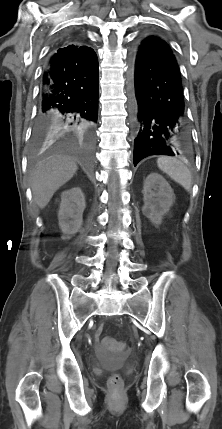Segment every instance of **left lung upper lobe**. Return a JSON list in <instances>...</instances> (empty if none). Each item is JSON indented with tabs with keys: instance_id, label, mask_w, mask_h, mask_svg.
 Segmentation results:
<instances>
[{
	"instance_id": "left-lung-upper-lobe-1",
	"label": "left lung upper lobe",
	"mask_w": 222,
	"mask_h": 429,
	"mask_svg": "<svg viewBox=\"0 0 222 429\" xmlns=\"http://www.w3.org/2000/svg\"><path fill=\"white\" fill-rule=\"evenodd\" d=\"M149 37H155V35H148V36H146V38H149Z\"/></svg>"
}]
</instances>
